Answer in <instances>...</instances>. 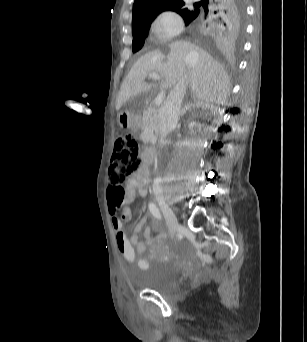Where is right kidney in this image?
I'll return each mask as SVG.
<instances>
[{"instance_id": "ca27d5eb", "label": "right kidney", "mask_w": 307, "mask_h": 342, "mask_svg": "<svg viewBox=\"0 0 307 342\" xmlns=\"http://www.w3.org/2000/svg\"><path fill=\"white\" fill-rule=\"evenodd\" d=\"M190 128H192V126H195L194 122H192V124H189Z\"/></svg>"}]
</instances>
